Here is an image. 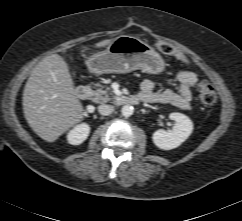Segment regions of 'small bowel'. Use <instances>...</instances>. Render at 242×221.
Segmentation results:
<instances>
[{"label": "small bowel", "instance_id": "obj_1", "mask_svg": "<svg viewBox=\"0 0 242 221\" xmlns=\"http://www.w3.org/2000/svg\"><path fill=\"white\" fill-rule=\"evenodd\" d=\"M178 90H156L155 83L146 79L141 83L143 101L148 103L170 104L179 108L187 109L191 106L193 90L198 80V75L189 70H180L175 75Z\"/></svg>", "mask_w": 242, "mask_h": 221}]
</instances>
